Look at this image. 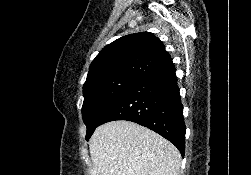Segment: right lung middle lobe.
Returning a JSON list of instances; mask_svg holds the SVG:
<instances>
[{
	"label": "right lung middle lobe",
	"instance_id": "obj_1",
	"mask_svg": "<svg viewBox=\"0 0 251 175\" xmlns=\"http://www.w3.org/2000/svg\"><path fill=\"white\" fill-rule=\"evenodd\" d=\"M140 79L120 75L107 80L89 83L83 86V121L87 127L86 140L93 134L101 116L134 83Z\"/></svg>",
	"mask_w": 251,
	"mask_h": 175
}]
</instances>
